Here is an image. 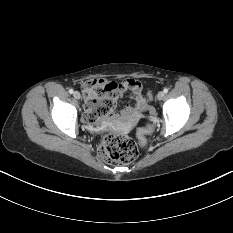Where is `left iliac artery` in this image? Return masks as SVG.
<instances>
[{
    "label": "left iliac artery",
    "instance_id": "obj_1",
    "mask_svg": "<svg viewBox=\"0 0 233 233\" xmlns=\"http://www.w3.org/2000/svg\"><path fill=\"white\" fill-rule=\"evenodd\" d=\"M167 92H168V89H167V88H165V89H164V93H167Z\"/></svg>",
    "mask_w": 233,
    "mask_h": 233
}]
</instances>
